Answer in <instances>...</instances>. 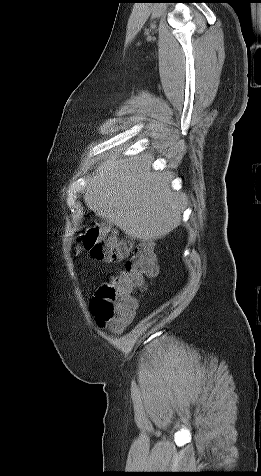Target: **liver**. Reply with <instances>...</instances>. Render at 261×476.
<instances>
[{
  "mask_svg": "<svg viewBox=\"0 0 261 476\" xmlns=\"http://www.w3.org/2000/svg\"><path fill=\"white\" fill-rule=\"evenodd\" d=\"M152 154L115 152L99 163L87 181L85 204L126 235L151 241L181 223L186 198L173 190V174L153 169Z\"/></svg>",
  "mask_w": 261,
  "mask_h": 476,
  "instance_id": "liver-1",
  "label": "liver"
}]
</instances>
